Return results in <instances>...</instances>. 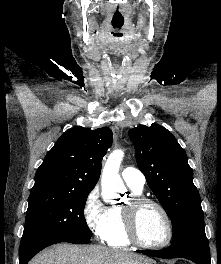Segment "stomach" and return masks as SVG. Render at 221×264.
Wrapping results in <instances>:
<instances>
[{
  "mask_svg": "<svg viewBox=\"0 0 221 264\" xmlns=\"http://www.w3.org/2000/svg\"><path fill=\"white\" fill-rule=\"evenodd\" d=\"M150 264H156V263H154V262H151Z\"/></svg>",
  "mask_w": 221,
  "mask_h": 264,
  "instance_id": "0dacf381",
  "label": "stomach"
}]
</instances>
